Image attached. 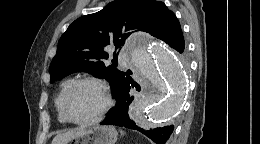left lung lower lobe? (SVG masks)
<instances>
[{
	"instance_id": "obj_1",
	"label": "left lung lower lobe",
	"mask_w": 260,
	"mask_h": 144,
	"mask_svg": "<svg viewBox=\"0 0 260 144\" xmlns=\"http://www.w3.org/2000/svg\"><path fill=\"white\" fill-rule=\"evenodd\" d=\"M167 44L179 53H183L185 50V41L182 30H180ZM131 87H136L138 91L140 90L134 81L127 75L113 94L116 99V106L109 110L107 117L100 124L134 129L145 134L157 144H165L172 134L174 126L167 125L150 130H145L140 127L138 123L134 121L133 108L131 106L134 97L129 94Z\"/></svg>"
}]
</instances>
